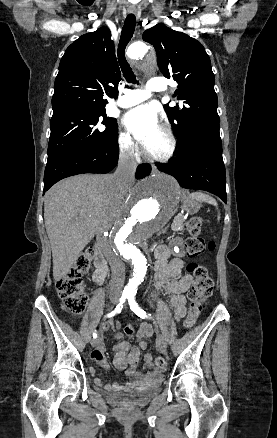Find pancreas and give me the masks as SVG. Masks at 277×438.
I'll list each match as a JSON object with an SVG mask.
<instances>
[{"instance_id": "pancreas-1", "label": "pancreas", "mask_w": 277, "mask_h": 438, "mask_svg": "<svg viewBox=\"0 0 277 438\" xmlns=\"http://www.w3.org/2000/svg\"><path fill=\"white\" fill-rule=\"evenodd\" d=\"M173 224L170 227L171 232L179 233L182 230L181 224L186 222L185 214H174L172 216ZM184 226V224H183Z\"/></svg>"}]
</instances>
